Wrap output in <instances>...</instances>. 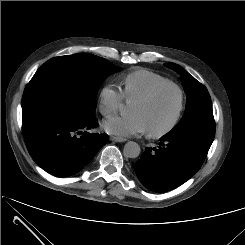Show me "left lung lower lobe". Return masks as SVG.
Returning a JSON list of instances; mask_svg holds the SVG:
<instances>
[{
	"label": "left lung lower lobe",
	"instance_id": "1",
	"mask_svg": "<svg viewBox=\"0 0 245 245\" xmlns=\"http://www.w3.org/2000/svg\"><path fill=\"white\" fill-rule=\"evenodd\" d=\"M160 140L158 148L146 147L135 164L141 183L156 193L170 191L189 180L200 169L209 150L192 138L165 135Z\"/></svg>",
	"mask_w": 245,
	"mask_h": 245
}]
</instances>
